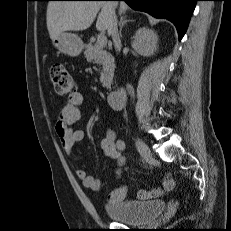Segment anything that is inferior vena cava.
<instances>
[{"mask_svg":"<svg viewBox=\"0 0 231 231\" xmlns=\"http://www.w3.org/2000/svg\"><path fill=\"white\" fill-rule=\"evenodd\" d=\"M110 31H111V35H112L115 48L118 50L120 47V38H119L118 28H117V18L115 14L112 17Z\"/></svg>","mask_w":231,"mask_h":231,"instance_id":"1","label":"inferior vena cava"}]
</instances>
